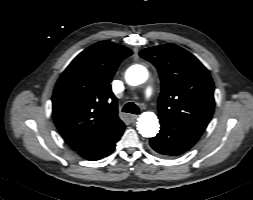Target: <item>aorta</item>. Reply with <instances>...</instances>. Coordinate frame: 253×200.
I'll return each instance as SVG.
<instances>
[{
    "label": "aorta",
    "instance_id": "762f6f07",
    "mask_svg": "<svg viewBox=\"0 0 253 200\" xmlns=\"http://www.w3.org/2000/svg\"><path fill=\"white\" fill-rule=\"evenodd\" d=\"M148 78V72L142 65H133L126 72V81L130 85H140ZM157 116L152 112H144L140 115L137 122V129L144 137H154L159 131Z\"/></svg>",
    "mask_w": 253,
    "mask_h": 200
}]
</instances>
